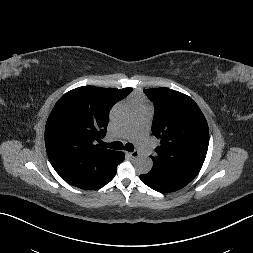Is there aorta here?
Instances as JSON below:
<instances>
[{
    "mask_svg": "<svg viewBox=\"0 0 253 253\" xmlns=\"http://www.w3.org/2000/svg\"><path fill=\"white\" fill-rule=\"evenodd\" d=\"M132 117V110L127 105H118L112 111V118L118 124L128 122ZM153 162L150 157L140 156L134 161V168L138 174H147L151 171Z\"/></svg>",
    "mask_w": 253,
    "mask_h": 253,
    "instance_id": "aorta-1",
    "label": "aorta"
}]
</instances>
